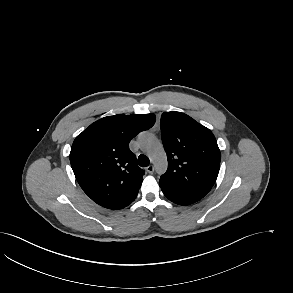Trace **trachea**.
<instances>
[{"label":"trachea","instance_id":"trachea-1","mask_svg":"<svg viewBox=\"0 0 293 293\" xmlns=\"http://www.w3.org/2000/svg\"><path fill=\"white\" fill-rule=\"evenodd\" d=\"M150 161L149 158L143 154L139 155L138 157V164L141 167H147L149 165Z\"/></svg>","mask_w":293,"mask_h":293}]
</instances>
